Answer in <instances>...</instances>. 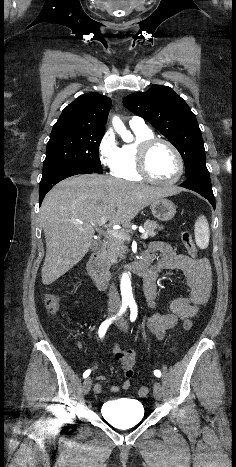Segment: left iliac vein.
I'll use <instances>...</instances> for the list:
<instances>
[{
  "mask_svg": "<svg viewBox=\"0 0 236 467\" xmlns=\"http://www.w3.org/2000/svg\"><path fill=\"white\" fill-rule=\"evenodd\" d=\"M116 324L120 329L127 330V323L124 317L120 318ZM153 394L156 400L160 401L162 399V386L157 381L153 385Z\"/></svg>",
  "mask_w": 236,
  "mask_h": 467,
  "instance_id": "left-iliac-vein-1",
  "label": "left iliac vein"
}]
</instances>
